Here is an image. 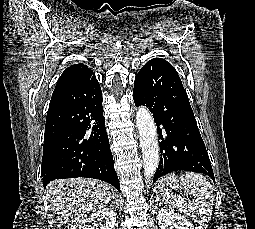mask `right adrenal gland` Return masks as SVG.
I'll return each mask as SVG.
<instances>
[{
	"mask_svg": "<svg viewBox=\"0 0 255 229\" xmlns=\"http://www.w3.org/2000/svg\"><path fill=\"white\" fill-rule=\"evenodd\" d=\"M115 204L118 206V200H117V198L113 197L112 203L110 204V206H114Z\"/></svg>",
	"mask_w": 255,
	"mask_h": 229,
	"instance_id": "obj_1",
	"label": "right adrenal gland"
}]
</instances>
